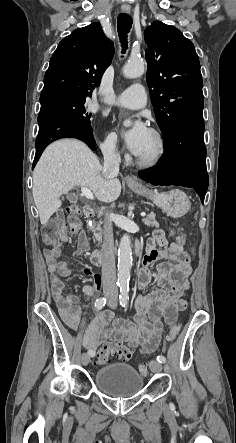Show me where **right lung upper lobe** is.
<instances>
[{
    "instance_id": "1",
    "label": "right lung upper lobe",
    "mask_w": 236,
    "mask_h": 443,
    "mask_svg": "<svg viewBox=\"0 0 236 443\" xmlns=\"http://www.w3.org/2000/svg\"><path fill=\"white\" fill-rule=\"evenodd\" d=\"M113 55L114 45L100 23L74 30L53 53L40 101L57 94L91 96Z\"/></svg>"
}]
</instances>
